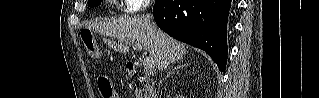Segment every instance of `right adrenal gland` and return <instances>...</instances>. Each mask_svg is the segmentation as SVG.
Here are the masks:
<instances>
[{
  "mask_svg": "<svg viewBox=\"0 0 319 98\" xmlns=\"http://www.w3.org/2000/svg\"><path fill=\"white\" fill-rule=\"evenodd\" d=\"M187 64L185 63V64H178V66H175L173 69H172V71H174V70H176V69H178V68H182V67H184V66H186ZM170 73V72H169ZM168 73V74H169Z\"/></svg>",
  "mask_w": 319,
  "mask_h": 98,
  "instance_id": "1",
  "label": "right adrenal gland"
}]
</instances>
